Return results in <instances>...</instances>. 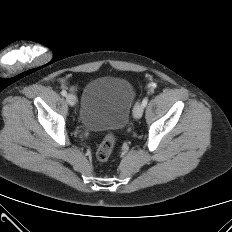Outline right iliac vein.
I'll list each match as a JSON object with an SVG mask.
<instances>
[{"label": "right iliac vein", "mask_w": 232, "mask_h": 232, "mask_svg": "<svg viewBox=\"0 0 232 232\" xmlns=\"http://www.w3.org/2000/svg\"><path fill=\"white\" fill-rule=\"evenodd\" d=\"M66 101L70 106H75L76 104V97L73 94H68L66 96Z\"/></svg>", "instance_id": "obj_1"}]
</instances>
